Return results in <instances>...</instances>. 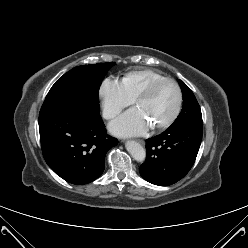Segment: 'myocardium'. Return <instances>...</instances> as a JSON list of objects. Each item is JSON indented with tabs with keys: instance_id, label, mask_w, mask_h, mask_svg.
I'll use <instances>...</instances> for the list:
<instances>
[{
	"instance_id": "f54148a6",
	"label": "myocardium",
	"mask_w": 248,
	"mask_h": 248,
	"mask_svg": "<svg viewBox=\"0 0 248 248\" xmlns=\"http://www.w3.org/2000/svg\"><path fill=\"white\" fill-rule=\"evenodd\" d=\"M164 82L172 83L175 86V88L177 90L178 99H177L176 108H175L174 112L171 114V116L160 123L153 124L154 128H159V129L165 128V127H168L169 125H171L178 118V116L181 112L182 105H183V93H182L181 87L177 83V81H175L172 78H166V77L159 79V80H156V81H153L144 90H142L134 99V104L137 105L140 101L147 99L152 94L153 90L159 84L164 83Z\"/></svg>"
}]
</instances>
